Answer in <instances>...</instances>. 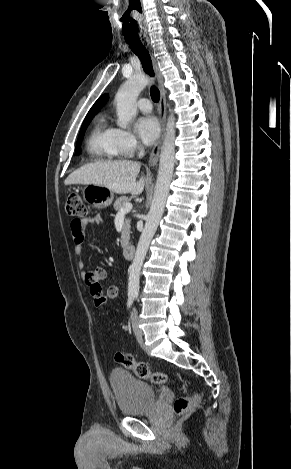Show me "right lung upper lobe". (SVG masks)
Here are the masks:
<instances>
[{
	"instance_id": "obj_1",
	"label": "right lung upper lobe",
	"mask_w": 291,
	"mask_h": 469,
	"mask_svg": "<svg viewBox=\"0 0 291 469\" xmlns=\"http://www.w3.org/2000/svg\"><path fill=\"white\" fill-rule=\"evenodd\" d=\"M107 100H108V95L107 94L102 95L94 103V105L92 106V108L90 109L86 117H90V116L93 117V115L107 102Z\"/></svg>"
}]
</instances>
